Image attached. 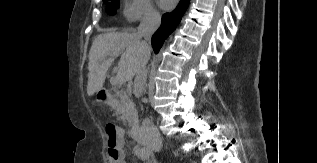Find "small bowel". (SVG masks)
Returning a JSON list of instances; mask_svg holds the SVG:
<instances>
[{"label": "small bowel", "mask_w": 317, "mask_h": 163, "mask_svg": "<svg viewBox=\"0 0 317 163\" xmlns=\"http://www.w3.org/2000/svg\"><path fill=\"white\" fill-rule=\"evenodd\" d=\"M132 149L133 153L143 163H156L153 160H151L149 149L141 147L139 145H134ZM120 163H126V160H121Z\"/></svg>", "instance_id": "c3829d8e"}]
</instances>
